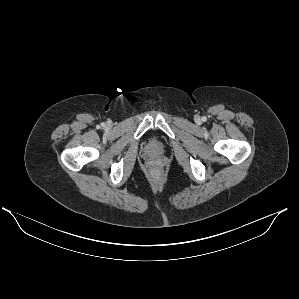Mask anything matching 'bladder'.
Masks as SVG:
<instances>
[{
    "mask_svg": "<svg viewBox=\"0 0 299 299\" xmlns=\"http://www.w3.org/2000/svg\"><path fill=\"white\" fill-rule=\"evenodd\" d=\"M145 151L150 155H161L165 151V146L158 138L150 136L145 143Z\"/></svg>",
    "mask_w": 299,
    "mask_h": 299,
    "instance_id": "31cf9c89",
    "label": "bladder"
}]
</instances>
